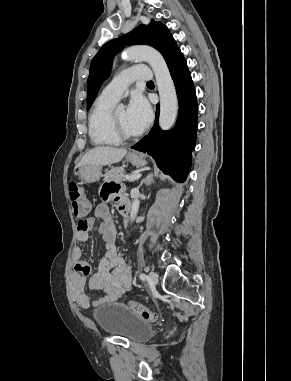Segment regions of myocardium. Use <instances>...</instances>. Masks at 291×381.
I'll return each mask as SVG.
<instances>
[{
	"label": "myocardium",
	"instance_id": "obj_1",
	"mask_svg": "<svg viewBox=\"0 0 291 381\" xmlns=\"http://www.w3.org/2000/svg\"><path fill=\"white\" fill-rule=\"evenodd\" d=\"M110 126L114 135L121 141L136 140L142 135V132H139L134 135H130L124 132L117 119L116 110H112L110 114Z\"/></svg>",
	"mask_w": 291,
	"mask_h": 381
}]
</instances>
